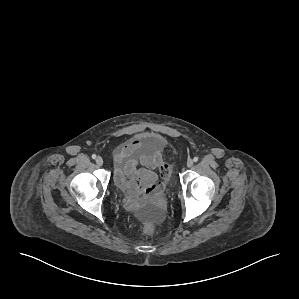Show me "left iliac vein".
<instances>
[{"mask_svg": "<svg viewBox=\"0 0 299 299\" xmlns=\"http://www.w3.org/2000/svg\"><path fill=\"white\" fill-rule=\"evenodd\" d=\"M193 166V160L192 159H188L187 160V167H192Z\"/></svg>", "mask_w": 299, "mask_h": 299, "instance_id": "1", "label": "left iliac vein"}]
</instances>
